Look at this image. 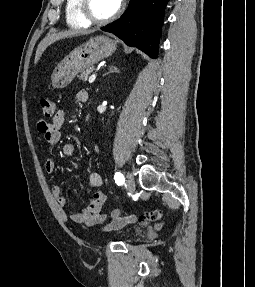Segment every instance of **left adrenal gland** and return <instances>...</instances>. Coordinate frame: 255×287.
I'll list each match as a JSON object with an SVG mask.
<instances>
[{"label": "left adrenal gland", "mask_w": 255, "mask_h": 287, "mask_svg": "<svg viewBox=\"0 0 255 287\" xmlns=\"http://www.w3.org/2000/svg\"><path fill=\"white\" fill-rule=\"evenodd\" d=\"M111 72H119V70L115 66H110L108 74H111Z\"/></svg>", "instance_id": "1"}]
</instances>
